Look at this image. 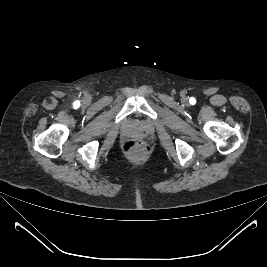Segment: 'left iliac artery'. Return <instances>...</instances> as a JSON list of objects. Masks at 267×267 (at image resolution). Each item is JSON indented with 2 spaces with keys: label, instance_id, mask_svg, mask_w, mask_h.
Wrapping results in <instances>:
<instances>
[{
  "label": "left iliac artery",
  "instance_id": "44dca946",
  "mask_svg": "<svg viewBox=\"0 0 267 267\" xmlns=\"http://www.w3.org/2000/svg\"><path fill=\"white\" fill-rule=\"evenodd\" d=\"M192 103H194L195 102V99L194 98H191V100H190Z\"/></svg>",
  "mask_w": 267,
  "mask_h": 267
}]
</instances>
